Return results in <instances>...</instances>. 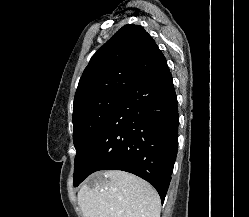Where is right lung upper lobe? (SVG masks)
Returning <instances> with one entry per match:
<instances>
[{
    "instance_id": "obj_1",
    "label": "right lung upper lobe",
    "mask_w": 249,
    "mask_h": 217,
    "mask_svg": "<svg viewBox=\"0 0 249 217\" xmlns=\"http://www.w3.org/2000/svg\"><path fill=\"white\" fill-rule=\"evenodd\" d=\"M162 58L142 26H123L90 59L79 80L74 107L104 93L126 94Z\"/></svg>"
}]
</instances>
